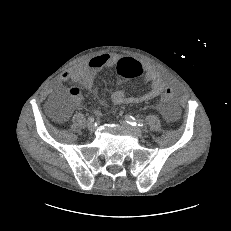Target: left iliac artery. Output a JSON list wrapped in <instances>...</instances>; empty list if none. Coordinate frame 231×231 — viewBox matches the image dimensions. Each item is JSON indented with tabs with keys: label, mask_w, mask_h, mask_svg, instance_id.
<instances>
[{
	"label": "left iliac artery",
	"mask_w": 231,
	"mask_h": 231,
	"mask_svg": "<svg viewBox=\"0 0 231 231\" xmlns=\"http://www.w3.org/2000/svg\"><path fill=\"white\" fill-rule=\"evenodd\" d=\"M125 119H126L127 123H129L130 125H132L134 127H143L145 125L144 122H142L140 120H136L131 115H126Z\"/></svg>",
	"instance_id": "44dca946"
}]
</instances>
